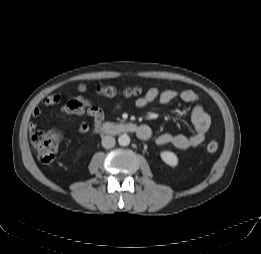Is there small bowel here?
I'll return each mask as SVG.
<instances>
[{
    "label": "small bowel",
    "instance_id": "small-bowel-1",
    "mask_svg": "<svg viewBox=\"0 0 261 254\" xmlns=\"http://www.w3.org/2000/svg\"><path fill=\"white\" fill-rule=\"evenodd\" d=\"M61 98L57 95L46 97L43 100L45 105H56ZM65 103L60 107V112L77 116H88L93 119L94 127H99L104 122L105 116L103 111L94 105L90 100L81 96H66ZM159 100L162 104H170L173 101L180 100L191 105V120L195 129L192 135L162 133L155 138L158 146L171 145L180 150L193 149L200 146L206 140L207 132L210 129V117L198 102L197 94L189 89H165L160 90L156 87L149 88L144 95L134 101L137 108H143L149 103ZM41 115V110L35 108L32 112L34 118ZM30 129L36 127L35 123H30ZM90 126L83 121L79 125V132L85 134L89 131ZM138 136L142 140H148L152 137V130L148 125H141Z\"/></svg>",
    "mask_w": 261,
    "mask_h": 254
}]
</instances>
